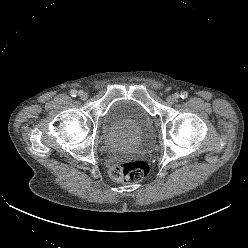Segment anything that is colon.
Listing matches in <instances>:
<instances>
[{
	"mask_svg": "<svg viewBox=\"0 0 248 248\" xmlns=\"http://www.w3.org/2000/svg\"><path fill=\"white\" fill-rule=\"evenodd\" d=\"M149 173V165L143 160L117 162L110 168V176L116 182H138Z\"/></svg>",
	"mask_w": 248,
	"mask_h": 248,
	"instance_id": "5ec220e1",
	"label": "colon"
}]
</instances>
